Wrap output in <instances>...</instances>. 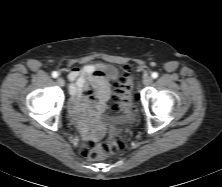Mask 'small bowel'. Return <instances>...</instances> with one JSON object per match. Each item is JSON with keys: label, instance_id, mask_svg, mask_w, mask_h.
<instances>
[{"label": "small bowel", "instance_id": "small-bowel-1", "mask_svg": "<svg viewBox=\"0 0 222 187\" xmlns=\"http://www.w3.org/2000/svg\"><path fill=\"white\" fill-rule=\"evenodd\" d=\"M105 70L104 64H95L73 68L69 72L68 79L72 82L69 91L73 96L71 105L74 116L87 110H104L110 98V81L105 76Z\"/></svg>", "mask_w": 222, "mask_h": 187}]
</instances>
